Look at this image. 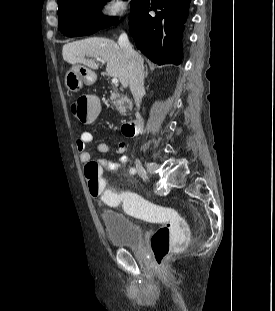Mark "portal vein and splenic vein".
I'll use <instances>...</instances> for the list:
<instances>
[{"instance_id": "obj_1", "label": "portal vein and splenic vein", "mask_w": 275, "mask_h": 311, "mask_svg": "<svg viewBox=\"0 0 275 311\" xmlns=\"http://www.w3.org/2000/svg\"><path fill=\"white\" fill-rule=\"evenodd\" d=\"M96 60L99 61V62H104L101 58H96ZM111 81H112V84H114V85L118 84L117 77H113Z\"/></svg>"}]
</instances>
